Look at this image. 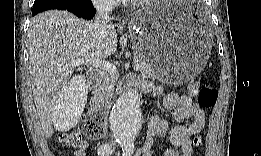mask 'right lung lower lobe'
<instances>
[{
  "label": "right lung lower lobe",
  "mask_w": 261,
  "mask_h": 156,
  "mask_svg": "<svg viewBox=\"0 0 261 156\" xmlns=\"http://www.w3.org/2000/svg\"><path fill=\"white\" fill-rule=\"evenodd\" d=\"M51 9L67 10L82 18H92L96 13L91 0H70L59 5L33 9L32 15Z\"/></svg>",
  "instance_id": "obj_1"
}]
</instances>
